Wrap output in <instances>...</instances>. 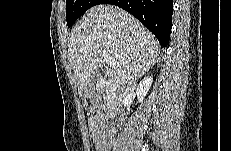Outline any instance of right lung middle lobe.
Here are the masks:
<instances>
[{"mask_svg":"<svg viewBox=\"0 0 231 151\" xmlns=\"http://www.w3.org/2000/svg\"><path fill=\"white\" fill-rule=\"evenodd\" d=\"M102 0H66V21L70 27L89 8L98 5Z\"/></svg>","mask_w":231,"mask_h":151,"instance_id":"right-lung-middle-lobe-1","label":"right lung middle lobe"}]
</instances>
